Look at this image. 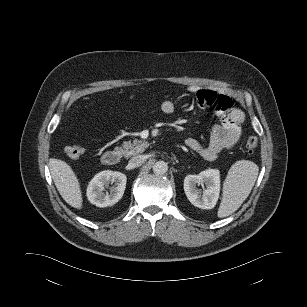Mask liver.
<instances>
[{
  "mask_svg": "<svg viewBox=\"0 0 307 307\" xmlns=\"http://www.w3.org/2000/svg\"><path fill=\"white\" fill-rule=\"evenodd\" d=\"M49 169L62 198L70 206L81 209L83 199L80 184L70 165L60 159L51 158L49 159Z\"/></svg>",
  "mask_w": 307,
  "mask_h": 307,
  "instance_id": "1",
  "label": "liver"
}]
</instances>
